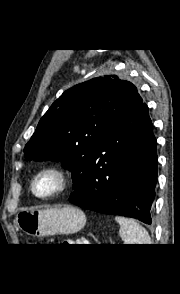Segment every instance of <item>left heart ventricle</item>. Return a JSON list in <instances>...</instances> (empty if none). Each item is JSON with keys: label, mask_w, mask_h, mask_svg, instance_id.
I'll use <instances>...</instances> for the list:
<instances>
[{"label": "left heart ventricle", "mask_w": 180, "mask_h": 294, "mask_svg": "<svg viewBox=\"0 0 180 294\" xmlns=\"http://www.w3.org/2000/svg\"><path fill=\"white\" fill-rule=\"evenodd\" d=\"M57 185V177L51 174H47L38 178L36 182V190L40 194H46L54 190Z\"/></svg>", "instance_id": "1"}]
</instances>
